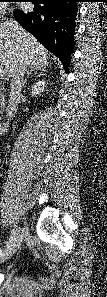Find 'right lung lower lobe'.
I'll return each mask as SVG.
<instances>
[{"mask_svg": "<svg viewBox=\"0 0 107 297\" xmlns=\"http://www.w3.org/2000/svg\"><path fill=\"white\" fill-rule=\"evenodd\" d=\"M28 13L15 10V20L53 53L64 69L73 51L77 7L75 0H35Z\"/></svg>", "mask_w": 107, "mask_h": 297, "instance_id": "98d812e1", "label": "right lung lower lobe"}]
</instances>
